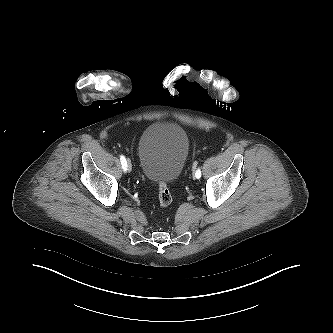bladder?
Segmentation results:
<instances>
[{"mask_svg":"<svg viewBox=\"0 0 333 333\" xmlns=\"http://www.w3.org/2000/svg\"><path fill=\"white\" fill-rule=\"evenodd\" d=\"M189 147L188 135L178 124L156 122L149 125L137 145L143 177L158 184L174 182L184 169Z\"/></svg>","mask_w":333,"mask_h":333,"instance_id":"bladder-1","label":"bladder"}]
</instances>
